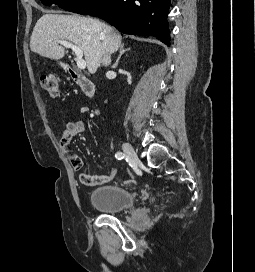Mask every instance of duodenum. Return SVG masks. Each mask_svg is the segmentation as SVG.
I'll return each mask as SVG.
<instances>
[{"label":"duodenum","instance_id":"duodenum-1","mask_svg":"<svg viewBox=\"0 0 255 272\" xmlns=\"http://www.w3.org/2000/svg\"><path fill=\"white\" fill-rule=\"evenodd\" d=\"M66 70L72 80L87 97H93L96 94V86L92 80L79 73L78 70L72 66H67Z\"/></svg>","mask_w":255,"mask_h":272}]
</instances>
